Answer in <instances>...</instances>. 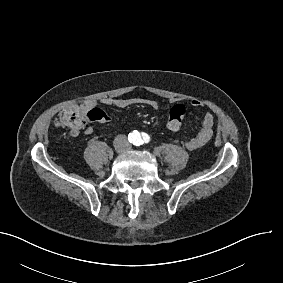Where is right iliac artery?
I'll use <instances>...</instances> for the list:
<instances>
[{
    "instance_id": "obj_1",
    "label": "right iliac artery",
    "mask_w": 283,
    "mask_h": 283,
    "mask_svg": "<svg viewBox=\"0 0 283 283\" xmlns=\"http://www.w3.org/2000/svg\"><path fill=\"white\" fill-rule=\"evenodd\" d=\"M130 137H132L133 139H136L139 136L138 131H133L132 133L129 134Z\"/></svg>"
}]
</instances>
